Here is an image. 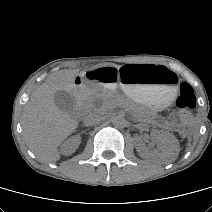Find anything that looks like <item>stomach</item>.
Wrapping results in <instances>:
<instances>
[{
    "instance_id": "0dacf381",
    "label": "stomach",
    "mask_w": 212,
    "mask_h": 212,
    "mask_svg": "<svg viewBox=\"0 0 212 212\" xmlns=\"http://www.w3.org/2000/svg\"><path fill=\"white\" fill-rule=\"evenodd\" d=\"M83 77L88 82H105L153 110L166 107L176 93V75L161 65H101L86 68Z\"/></svg>"
}]
</instances>
